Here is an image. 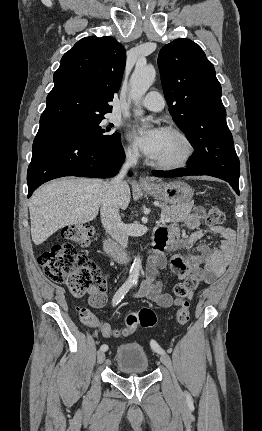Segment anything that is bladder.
Here are the masks:
<instances>
[{
    "instance_id": "31cf9c89",
    "label": "bladder",
    "mask_w": 262,
    "mask_h": 431,
    "mask_svg": "<svg viewBox=\"0 0 262 431\" xmlns=\"http://www.w3.org/2000/svg\"><path fill=\"white\" fill-rule=\"evenodd\" d=\"M116 366L124 373H146L149 360L145 349L138 343L119 345L116 349Z\"/></svg>"
}]
</instances>
